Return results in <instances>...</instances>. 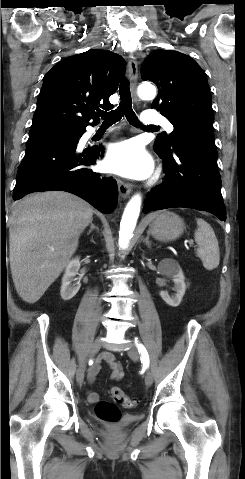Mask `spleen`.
<instances>
[{"instance_id": "3e777b00", "label": "spleen", "mask_w": 245, "mask_h": 479, "mask_svg": "<svg viewBox=\"0 0 245 479\" xmlns=\"http://www.w3.org/2000/svg\"><path fill=\"white\" fill-rule=\"evenodd\" d=\"M197 230L194 238L198 245L196 254L201 259L204 268L213 270L220 262V251L218 240L213 228L202 218H197Z\"/></svg>"}]
</instances>
